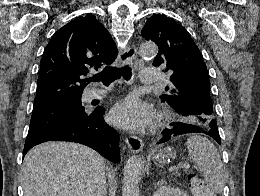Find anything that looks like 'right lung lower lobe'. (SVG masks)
<instances>
[{
  "label": "right lung lower lobe",
  "mask_w": 260,
  "mask_h": 196,
  "mask_svg": "<svg viewBox=\"0 0 260 196\" xmlns=\"http://www.w3.org/2000/svg\"><path fill=\"white\" fill-rule=\"evenodd\" d=\"M104 109L96 108L84 121L27 136L23 157L35 145L46 141H70L89 146L106 159L120 162L118 133L103 119Z\"/></svg>",
  "instance_id": "1"
}]
</instances>
